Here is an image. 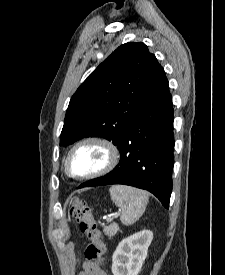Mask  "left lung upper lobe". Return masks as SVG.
Instances as JSON below:
<instances>
[{
  "instance_id": "1",
  "label": "left lung upper lobe",
  "mask_w": 225,
  "mask_h": 275,
  "mask_svg": "<svg viewBox=\"0 0 225 275\" xmlns=\"http://www.w3.org/2000/svg\"><path fill=\"white\" fill-rule=\"evenodd\" d=\"M167 81L163 67L144 43L121 45L72 96L60 145L98 136L118 147L129 126Z\"/></svg>"
}]
</instances>
